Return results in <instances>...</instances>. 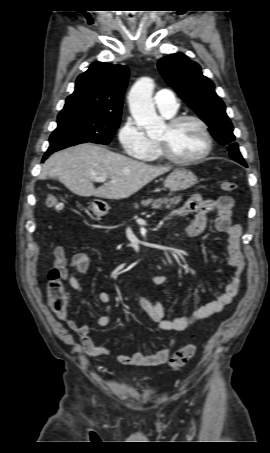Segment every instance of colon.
<instances>
[{
	"label": "colon",
	"mask_w": 270,
	"mask_h": 453,
	"mask_svg": "<svg viewBox=\"0 0 270 453\" xmlns=\"http://www.w3.org/2000/svg\"><path fill=\"white\" fill-rule=\"evenodd\" d=\"M221 190L224 192H232L236 188V184L230 180H224L220 184ZM46 205L56 211L63 210V203L53 194H48L46 197ZM48 299L49 306L52 311L58 316L67 314L69 308V297L64 289L60 273L53 268L48 274ZM196 352L194 344H187L177 350L169 359V365L173 369H178L185 365Z\"/></svg>",
	"instance_id": "colon-1"
}]
</instances>
